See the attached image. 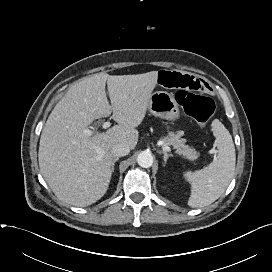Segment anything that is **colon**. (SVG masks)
Instances as JSON below:
<instances>
[{
    "label": "colon",
    "instance_id": "1",
    "mask_svg": "<svg viewBox=\"0 0 272 272\" xmlns=\"http://www.w3.org/2000/svg\"><path fill=\"white\" fill-rule=\"evenodd\" d=\"M175 98L184 112L202 126L206 125L215 113V103L207 96L180 90Z\"/></svg>",
    "mask_w": 272,
    "mask_h": 272
}]
</instances>
